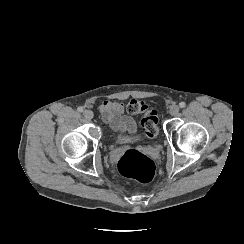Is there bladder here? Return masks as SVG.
Segmentation results:
<instances>
[{
  "label": "bladder",
  "mask_w": 244,
  "mask_h": 244,
  "mask_svg": "<svg viewBox=\"0 0 244 244\" xmlns=\"http://www.w3.org/2000/svg\"><path fill=\"white\" fill-rule=\"evenodd\" d=\"M143 137V136H142ZM133 140V137H131L130 139H129V141H132Z\"/></svg>",
  "instance_id": "bladder-1"
}]
</instances>
